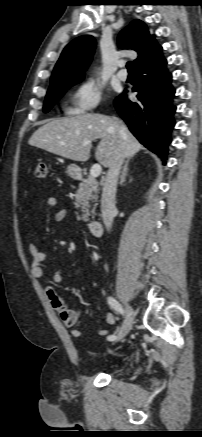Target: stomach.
<instances>
[{
  "label": "stomach",
  "instance_id": "0dacf381",
  "mask_svg": "<svg viewBox=\"0 0 202 437\" xmlns=\"http://www.w3.org/2000/svg\"><path fill=\"white\" fill-rule=\"evenodd\" d=\"M80 171V168L75 164L69 165L66 169L67 175L71 178H76L77 176H79Z\"/></svg>",
  "mask_w": 202,
  "mask_h": 437
}]
</instances>
